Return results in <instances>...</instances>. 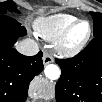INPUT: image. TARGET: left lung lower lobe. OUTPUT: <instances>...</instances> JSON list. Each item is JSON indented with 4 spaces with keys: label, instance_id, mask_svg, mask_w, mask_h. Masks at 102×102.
Returning <instances> with one entry per match:
<instances>
[{
    "label": "left lung lower lobe",
    "instance_id": "1",
    "mask_svg": "<svg viewBox=\"0 0 102 102\" xmlns=\"http://www.w3.org/2000/svg\"><path fill=\"white\" fill-rule=\"evenodd\" d=\"M61 76L57 102H102V36H96L73 58L56 59Z\"/></svg>",
    "mask_w": 102,
    "mask_h": 102
}]
</instances>
